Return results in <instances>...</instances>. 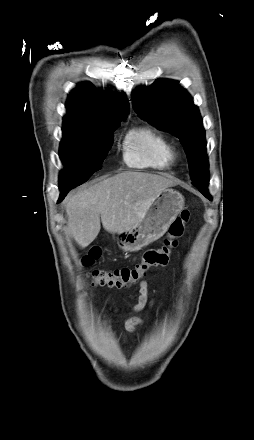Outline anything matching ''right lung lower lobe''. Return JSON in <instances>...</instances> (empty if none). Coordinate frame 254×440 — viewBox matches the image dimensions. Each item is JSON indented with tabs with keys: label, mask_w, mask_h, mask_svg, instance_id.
I'll list each match as a JSON object with an SVG mask.
<instances>
[{
	"label": "right lung lower lobe",
	"mask_w": 254,
	"mask_h": 440,
	"mask_svg": "<svg viewBox=\"0 0 254 440\" xmlns=\"http://www.w3.org/2000/svg\"><path fill=\"white\" fill-rule=\"evenodd\" d=\"M61 190V194H60V198H59V201L58 202H60V201H62L63 200V198L65 197V195L68 193V189H60Z\"/></svg>",
	"instance_id": "98d812e1"
}]
</instances>
